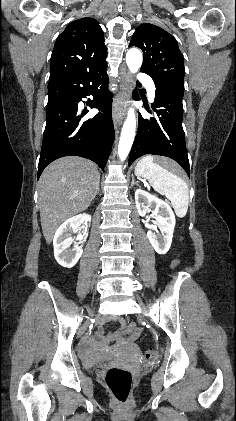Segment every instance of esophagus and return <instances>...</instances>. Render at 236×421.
<instances>
[{"label": "esophagus", "instance_id": "1", "mask_svg": "<svg viewBox=\"0 0 236 421\" xmlns=\"http://www.w3.org/2000/svg\"><path fill=\"white\" fill-rule=\"evenodd\" d=\"M123 89L116 95L112 107V118L115 126H119L125 117V103L131 95L130 75L125 74L122 80Z\"/></svg>", "mask_w": 236, "mask_h": 421}]
</instances>
